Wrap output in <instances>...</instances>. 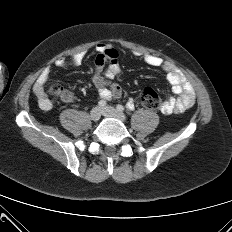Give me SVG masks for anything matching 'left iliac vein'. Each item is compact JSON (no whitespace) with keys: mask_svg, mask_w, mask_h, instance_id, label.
Masks as SVG:
<instances>
[{"mask_svg":"<svg viewBox=\"0 0 232 232\" xmlns=\"http://www.w3.org/2000/svg\"><path fill=\"white\" fill-rule=\"evenodd\" d=\"M102 114H103L104 116H106V117L116 118V119H119V120H121V121H125V120H126V117H125V115H124L122 112H120V111L114 109V108L111 107V106H106V107H104V108L102 109Z\"/></svg>","mask_w":232,"mask_h":232,"instance_id":"obj_1","label":"left iliac vein"}]
</instances>
